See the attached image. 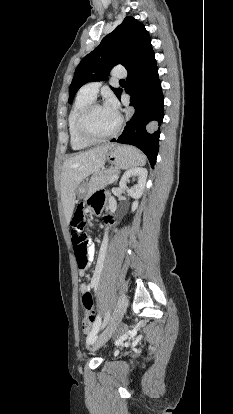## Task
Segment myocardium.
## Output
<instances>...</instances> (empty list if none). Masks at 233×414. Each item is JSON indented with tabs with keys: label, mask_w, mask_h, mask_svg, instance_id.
<instances>
[{
	"label": "myocardium",
	"mask_w": 233,
	"mask_h": 414,
	"mask_svg": "<svg viewBox=\"0 0 233 414\" xmlns=\"http://www.w3.org/2000/svg\"><path fill=\"white\" fill-rule=\"evenodd\" d=\"M103 105L99 102L96 101H92L90 102L88 105H86L82 111L80 112V114L78 115L77 121H76V132L78 134V136L87 141V142H91V143H97V142H103L106 140H109L111 138H113L114 136H116L121 127H122V117L120 115H118V120H117V124L115 126V128L108 134L103 135V136H97L92 134L86 126V122L87 119L89 117V115L91 114V112L98 108V107H102Z\"/></svg>",
	"instance_id": "f54148a6"
}]
</instances>
